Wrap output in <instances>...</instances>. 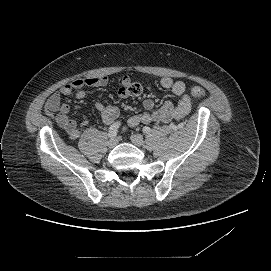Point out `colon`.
Returning a JSON list of instances; mask_svg holds the SVG:
<instances>
[{
	"label": "colon",
	"instance_id": "colon-1",
	"mask_svg": "<svg viewBox=\"0 0 271 271\" xmlns=\"http://www.w3.org/2000/svg\"><path fill=\"white\" fill-rule=\"evenodd\" d=\"M127 91L130 96H137L142 93L143 87L141 84L134 82L128 86ZM189 94L195 98H202L206 96V91L201 87H193L190 89Z\"/></svg>",
	"mask_w": 271,
	"mask_h": 271
}]
</instances>
